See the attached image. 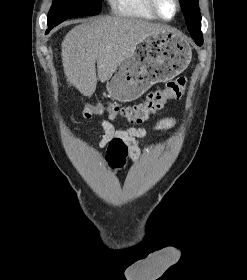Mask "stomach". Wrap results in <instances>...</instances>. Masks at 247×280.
Listing matches in <instances>:
<instances>
[{
  "label": "stomach",
  "mask_w": 247,
  "mask_h": 280,
  "mask_svg": "<svg viewBox=\"0 0 247 280\" xmlns=\"http://www.w3.org/2000/svg\"><path fill=\"white\" fill-rule=\"evenodd\" d=\"M191 57V47L180 34L165 31L149 35L116 67L107 80V90L117 101L136 100L155 83L183 72Z\"/></svg>",
  "instance_id": "stomach-1"
}]
</instances>
